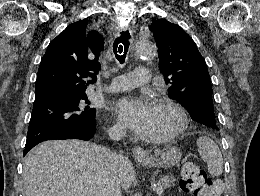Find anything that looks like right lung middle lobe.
<instances>
[{"instance_id": "right-lung-middle-lobe-1", "label": "right lung middle lobe", "mask_w": 260, "mask_h": 196, "mask_svg": "<svg viewBox=\"0 0 260 196\" xmlns=\"http://www.w3.org/2000/svg\"><path fill=\"white\" fill-rule=\"evenodd\" d=\"M86 93L62 95L34 105L26 146L96 123Z\"/></svg>"}]
</instances>
